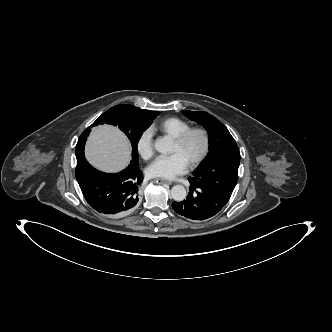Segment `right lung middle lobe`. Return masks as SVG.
<instances>
[{
    "label": "right lung middle lobe",
    "mask_w": 332,
    "mask_h": 332,
    "mask_svg": "<svg viewBox=\"0 0 332 332\" xmlns=\"http://www.w3.org/2000/svg\"><path fill=\"white\" fill-rule=\"evenodd\" d=\"M158 114L159 112L142 110L132 105H117L102 114L93 125L106 123L118 126L127 135L132 144V160L130 164L138 167V140ZM85 142L86 139L79 138L76 146L77 160H79L81 151L84 150Z\"/></svg>",
    "instance_id": "right-lung-middle-lobe-1"
}]
</instances>
